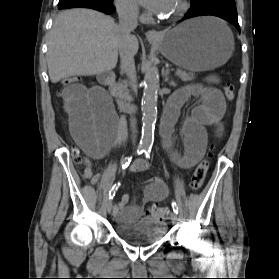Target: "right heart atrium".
<instances>
[{
    "label": "right heart atrium",
    "instance_id": "right-heart-atrium-1",
    "mask_svg": "<svg viewBox=\"0 0 279 279\" xmlns=\"http://www.w3.org/2000/svg\"><path fill=\"white\" fill-rule=\"evenodd\" d=\"M119 14L125 18H136L140 16V9L135 0H115Z\"/></svg>",
    "mask_w": 279,
    "mask_h": 279
}]
</instances>
